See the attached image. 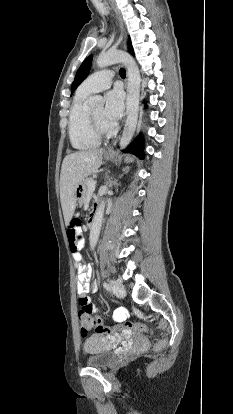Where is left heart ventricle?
I'll return each instance as SVG.
<instances>
[{
    "instance_id": "obj_1",
    "label": "left heart ventricle",
    "mask_w": 233,
    "mask_h": 414,
    "mask_svg": "<svg viewBox=\"0 0 233 414\" xmlns=\"http://www.w3.org/2000/svg\"><path fill=\"white\" fill-rule=\"evenodd\" d=\"M104 109L102 106H99L97 108H94L91 110L92 114L94 115L96 121L98 122V124L103 127V128H110L112 125L109 124L105 117H104V113H103Z\"/></svg>"
}]
</instances>
